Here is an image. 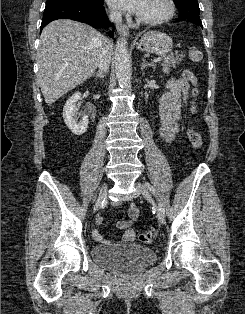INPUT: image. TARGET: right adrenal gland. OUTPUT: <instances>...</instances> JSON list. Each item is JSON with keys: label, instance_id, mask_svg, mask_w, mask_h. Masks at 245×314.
Returning a JSON list of instances; mask_svg holds the SVG:
<instances>
[{"label": "right adrenal gland", "instance_id": "obj_1", "mask_svg": "<svg viewBox=\"0 0 245 314\" xmlns=\"http://www.w3.org/2000/svg\"><path fill=\"white\" fill-rule=\"evenodd\" d=\"M93 76L96 77V78H99V79H103L105 75L103 74L102 71L99 70Z\"/></svg>", "mask_w": 245, "mask_h": 314}]
</instances>
